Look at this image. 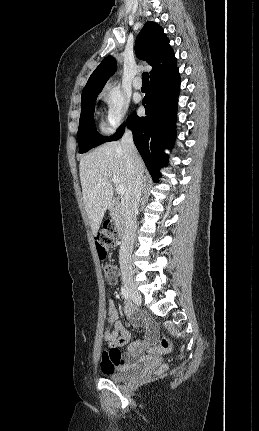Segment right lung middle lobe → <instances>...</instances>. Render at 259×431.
Masks as SVG:
<instances>
[{"label": "right lung middle lobe", "mask_w": 259, "mask_h": 431, "mask_svg": "<svg viewBox=\"0 0 259 431\" xmlns=\"http://www.w3.org/2000/svg\"><path fill=\"white\" fill-rule=\"evenodd\" d=\"M100 92L89 93L82 97L81 115L78 129V142L80 153H85L91 148L104 143L107 137L96 131L94 123L95 101Z\"/></svg>", "instance_id": "dd1d6c3e"}]
</instances>
